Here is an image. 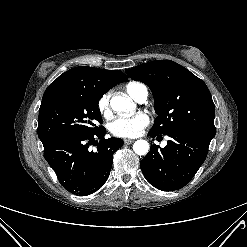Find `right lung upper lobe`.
Here are the masks:
<instances>
[{
	"label": "right lung upper lobe",
	"mask_w": 247,
	"mask_h": 247,
	"mask_svg": "<svg viewBox=\"0 0 247 247\" xmlns=\"http://www.w3.org/2000/svg\"><path fill=\"white\" fill-rule=\"evenodd\" d=\"M127 80V76L119 70H103L87 66L72 68L47 87L42 102L62 93L80 89H93L106 93L115 85Z\"/></svg>",
	"instance_id": "right-lung-upper-lobe-1"
}]
</instances>
